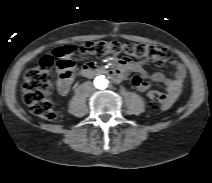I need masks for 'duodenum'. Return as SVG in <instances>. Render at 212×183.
Wrapping results in <instances>:
<instances>
[{"instance_id": "obj_1", "label": "duodenum", "mask_w": 212, "mask_h": 183, "mask_svg": "<svg viewBox=\"0 0 212 183\" xmlns=\"http://www.w3.org/2000/svg\"><path fill=\"white\" fill-rule=\"evenodd\" d=\"M99 74L108 76L114 82H119L122 80V73L118 69H106L95 64H88L81 70V76L85 78L93 77Z\"/></svg>"}]
</instances>
